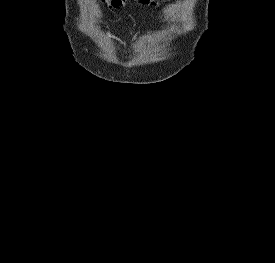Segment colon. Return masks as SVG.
<instances>
[{
  "label": "colon",
  "mask_w": 275,
  "mask_h": 263,
  "mask_svg": "<svg viewBox=\"0 0 275 263\" xmlns=\"http://www.w3.org/2000/svg\"><path fill=\"white\" fill-rule=\"evenodd\" d=\"M109 8L116 9L118 8L123 0H104ZM137 2L141 5H148V6H155L157 1L156 0H137Z\"/></svg>",
  "instance_id": "1"
}]
</instances>
